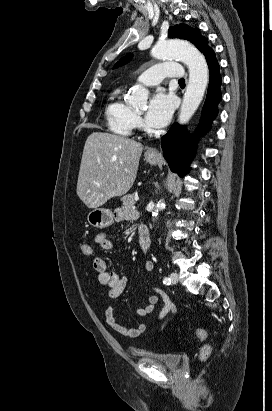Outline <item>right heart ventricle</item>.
I'll use <instances>...</instances> for the list:
<instances>
[{
	"label": "right heart ventricle",
	"instance_id": "e07e8e85",
	"mask_svg": "<svg viewBox=\"0 0 272 411\" xmlns=\"http://www.w3.org/2000/svg\"><path fill=\"white\" fill-rule=\"evenodd\" d=\"M110 130L118 135L128 136L134 128V112L132 107L115 90L109 98L105 109Z\"/></svg>",
	"mask_w": 272,
	"mask_h": 411
}]
</instances>
